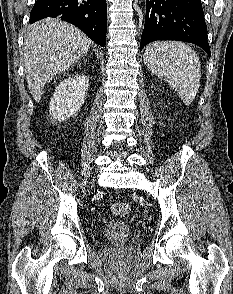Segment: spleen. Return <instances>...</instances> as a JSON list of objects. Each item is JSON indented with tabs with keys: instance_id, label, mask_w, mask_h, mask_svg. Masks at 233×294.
I'll return each instance as SVG.
<instances>
[{
	"instance_id": "spleen-1",
	"label": "spleen",
	"mask_w": 233,
	"mask_h": 294,
	"mask_svg": "<svg viewBox=\"0 0 233 294\" xmlns=\"http://www.w3.org/2000/svg\"><path fill=\"white\" fill-rule=\"evenodd\" d=\"M143 59L152 73L173 87L185 105L192 103L200 85L201 65L189 45L157 41L146 47Z\"/></svg>"
}]
</instances>
